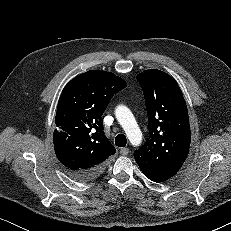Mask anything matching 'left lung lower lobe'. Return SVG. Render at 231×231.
I'll list each match as a JSON object with an SVG mask.
<instances>
[{"instance_id":"left-lung-lower-lobe-1","label":"left lung lower lobe","mask_w":231,"mask_h":231,"mask_svg":"<svg viewBox=\"0 0 231 231\" xmlns=\"http://www.w3.org/2000/svg\"><path fill=\"white\" fill-rule=\"evenodd\" d=\"M135 161L137 162L138 166L140 167L144 175L154 182L157 183L164 182L174 176V175H168L158 172L137 159H135Z\"/></svg>"}]
</instances>
